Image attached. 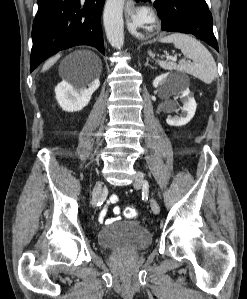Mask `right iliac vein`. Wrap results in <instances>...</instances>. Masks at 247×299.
<instances>
[{"label": "right iliac vein", "mask_w": 247, "mask_h": 299, "mask_svg": "<svg viewBox=\"0 0 247 299\" xmlns=\"http://www.w3.org/2000/svg\"><path fill=\"white\" fill-rule=\"evenodd\" d=\"M102 193V182H97L94 189H93V195H92V206L95 207L101 197Z\"/></svg>", "instance_id": "1"}]
</instances>
